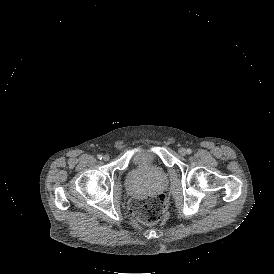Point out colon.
<instances>
[{"label": "colon", "instance_id": "colon-1", "mask_svg": "<svg viewBox=\"0 0 274 274\" xmlns=\"http://www.w3.org/2000/svg\"><path fill=\"white\" fill-rule=\"evenodd\" d=\"M134 220L141 224H158L167 217V200L164 194L135 196L130 202Z\"/></svg>", "mask_w": 274, "mask_h": 274}]
</instances>
